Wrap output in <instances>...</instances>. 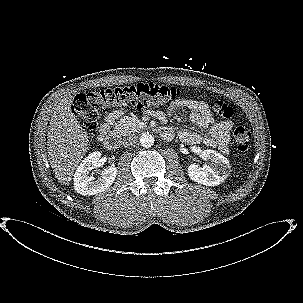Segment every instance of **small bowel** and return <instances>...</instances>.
<instances>
[{
	"label": "small bowel",
	"mask_w": 303,
	"mask_h": 303,
	"mask_svg": "<svg viewBox=\"0 0 303 303\" xmlns=\"http://www.w3.org/2000/svg\"><path fill=\"white\" fill-rule=\"evenodd\" d=\"M182 108H187L191 111V120L197 127L208 130L206 135L194 131L180 130L177 132V136L182 142L187 144H204L208 147L218 148L223 153L228 152L229 133L233 127V123L231 121L216 122L209 105L204 101L193 99L177 100L168 107L167 113L156 111L150 114L161 123H165L167 116L175 114ZM124 113L123 109L110 111L100 127V133L102 135L106 134L115 120ZM164 134L167 138H171L173 131L167 129L164 131Z\"/></svg>",
	"instance_id": "obj_1"
}]
</instances>
